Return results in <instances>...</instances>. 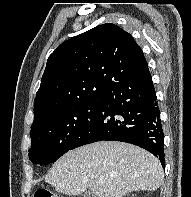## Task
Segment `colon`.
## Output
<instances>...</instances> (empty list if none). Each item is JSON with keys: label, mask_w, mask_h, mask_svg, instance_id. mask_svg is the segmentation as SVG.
Listing matches in <instances>:
<instances>
[{"label": "colon", "mask_w": 191, "mask_h": 197, "mask_svg": "<svg viewBox=\"0 0 191 197\" xmlns=\"http://www.w3.org/2000/svg\"><path fill=\"white\" fill-rule=\"evenodd\" d=\"M34 197H63L47 189H39L35 192Z\"/></svg>", "instance_id": "5ec220e1"}]
</instances>
